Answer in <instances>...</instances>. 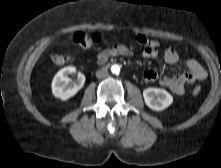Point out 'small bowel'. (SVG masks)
<instances>
[{"label":"small bowel","mask_w":221,"mask_h":168,"mask_svg":"<svg viewBox=\"0 0 221 168\" xmlns=\"http://www.w3.org/2000/svg\"><path fill=\"white\" fill-rule=\"evenodd\" d=\"M132 50L124 44H116L106 48L98 53L97 61L100 64L105 63L110 57L114 56H131ZM158 55L156 46L152 48H144L143 56L146 58H155ZM164 60L167 63H176L179 55L175 49L169 47L164 51ZM188 70L181 75L175 76H162L159 78L158 72L155 69H147L144 72V79L149 82L159 80V84L168 88L176 95L185 93L186 85L195 81L203 80L206 78V71L202 65L195 59H189L186 63Z\"/></svg>","instance_id":"small-bowel-1"}]
</instances>
